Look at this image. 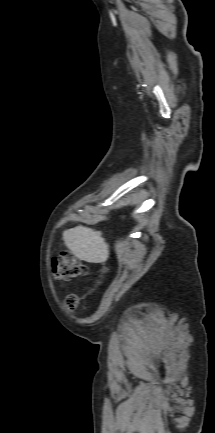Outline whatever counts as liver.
Masks as SVG:
<instances>
[{"mask_svg":"<svg viewBox=\"0 0 215 433\" xmlns=\"http://www.w3.org/2000/svg\"><path fill=\"white\" fill-rule=\"evenodd\" d=\"M63 239L70 251L88 263H104L109 257V245L100 231L84 226L65 230Z\"/></svg>","mask_w":215,"mask_h":433,"instance_id":"6515ba94","label":"liver"}]
</instances>
